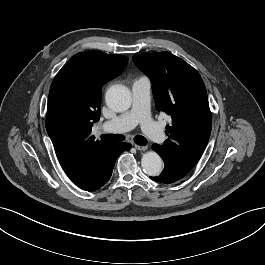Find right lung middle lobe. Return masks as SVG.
I'll return each mask as SVG.
<instances>
[{
  "instance_id": "right-lung-middle-lobe-1",
  "label": "right lung middle lobe",
  "mask_w": 265,
  "mask_h": 265,
  "mask_svg": "<svg viewBox=\"0 0 265 265\" xmlns=\"http://www.w3.org/2000/svg\"><path fill=\"white\" fill-rule=\"evenodd\" d=\"M72 98L68 80L65 76L60 77L55 86V101L59 106H64Z\"/></svg>"
}]
</instances>
